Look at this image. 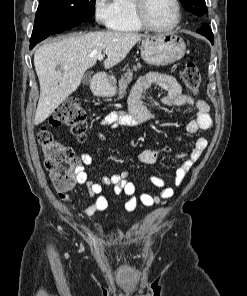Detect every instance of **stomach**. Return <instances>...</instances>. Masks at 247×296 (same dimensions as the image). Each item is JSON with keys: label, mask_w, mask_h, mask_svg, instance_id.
<instances>
[{"label": "stomach", "mask_w": 247, "mask_h": 296, "mask_svg": "<svg viewBox=\"0 0 247 296\" xmlns=\"http://www.w3.org/2000/svg\"><path fill=\"white\" fill-rule=\"evenodd\" d=\"M186 45L176 33H162L147 36L141 43L142 59L148 64L165 66L184 57ZM97 94L104 97L113 96L116 88L105 80L97 85Z\"/></svg>", "instance_id": "obj_1"}]
</instances>
